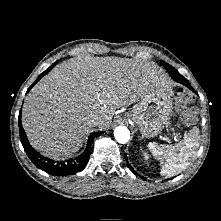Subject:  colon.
<instances>
[{
    "label": "colon",
    "instance_id": "colon-1",
    "mask_svg": "<svg viewBox=\"0 0 221 221\" xmlns=\"http://www.w3.org/2000/svg\"><path fill=\"white\" fill-rule=\"evenodd\" d=\"M190 102V97L187 92L180 91L177 95L176 105L177 109L184 115L186 118H191L192 113L187 111V105Z\"/></svg>",
    "mask_w": 221,
    "mask_h": 221
}]
</instances>
